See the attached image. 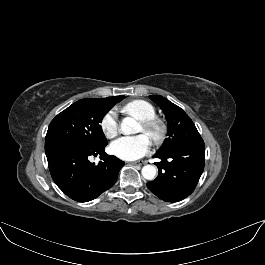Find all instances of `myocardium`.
Segmentation results:
<instances>
[{"label":"myocardium","instance_id":"obj_1","mask_svg":"<svg viewBox=\"0 0 265 265\" xmlns=\"http://www.w3.org/2000/svg\"><path fill=\"white\" fill-rule=\"evenodd\" d=\"M143 131L152 139L154 143H159L165 135L164 123L157 119L151 118L142 121Z\"/></svg>","mask_w":265,"mask_h":265}]
</instances>
